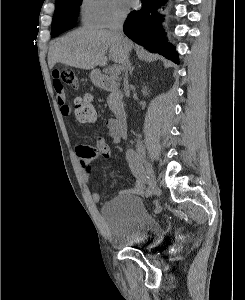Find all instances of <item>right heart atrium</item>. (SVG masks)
<instances>
[{
  "mask_svg": "<svg viewBox=\"0 0 245 300\" xmlns=\"http://www.w3.org/2000/svg\"><path fill=\"white\" fill-rule=\"evenodd\" d=\"M83 21L97 28H106L123 21L127 10L122 0H81Z\"/></svg>",
  "mask_w": 245,
  "mask_h": 300,
  "instance_id": "obj_1",
  "label": "right heart atrium"
}]
</instances>
